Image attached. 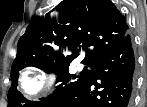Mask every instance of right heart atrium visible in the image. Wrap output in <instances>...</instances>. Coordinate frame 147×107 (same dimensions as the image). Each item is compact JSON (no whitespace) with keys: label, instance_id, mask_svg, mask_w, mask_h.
Instances as JSON below:
<instances>
[{"label":"right heart atrium","instance_id":"1","mask_svg":"<svg viewBox=\"0 0 147 107\" xmlns=\"http://www.w3.org/2000/svg\"><path fill=\"white\" fill-rule=\"evenodd\" d=\"M54 85V75L29 74L22 78V87L29 96H36L42 91H51Z\"/></svg>","mask_w":147,"mask_h":107}]
</instances>
